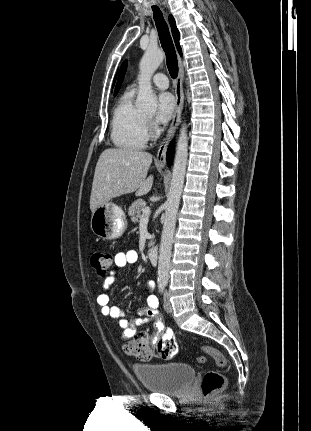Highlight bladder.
<instances>
[{
  "instance_id": "1",
  "label": "bladder",
  "mask_w": 311,
  "mask_h": 431,
  "mask_svg": "<svg viewBox=\"0 0 311 431\" xmlns=\"http://www.w3.org/2000/svg\"><path fill=\"white\" fill-rule=\"evenodd\" d=\"M133 371L145 389L166 395L181 394L195 377L194 368L187 363H141Z\"/></svg>"
}]
</instances>
